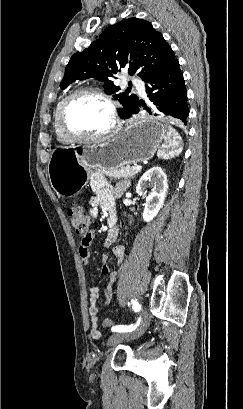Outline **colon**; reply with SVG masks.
Listing matches in <instances>:
<instances>
[{"instance_id": "1", "label": "colon", "mask_w": 243, "mask_h": 409, "mask_svg": "<svg viewBox=\"0 0 243 409\" xmlns=\"http://www.w3.org/2000/svg\"><path fill=\"white\" fill-rule=\"evenodd\" d=\"M68 216L75 232L84 238L88 234L89 218L85 214L83 208L77 205L70 206L68 208ZM102 324L106 328L114 326L113 321L108 318L104 319Z\"/></svg>"}]
</instances>
